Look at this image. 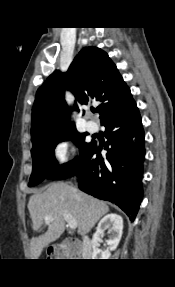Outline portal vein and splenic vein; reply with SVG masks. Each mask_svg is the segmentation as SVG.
Wrapping results in <instances>:
<instances>
[{
    "instance_id": "obj_1",
    "label": "portal vein and splenic vein",
    "mask_w": 175,
    "mask_h": 287,
    "mask_svg": "<svg viewBox=\"0 0 175 287\" xmlns=\"http://www.w3.org/2000/svg\"><path fill=\"white\" fill-rule=\"evenodd\" d=\"M64 219L71 229H75L77 227V222L69 214H64ZM44 220L46 223H49L51 221V217L46 216Z\"/></svg>"
}]
</instances>
